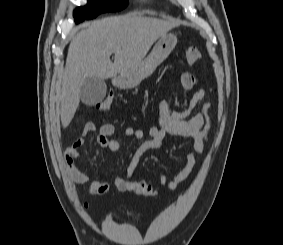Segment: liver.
<instances>
[{"label":"liver","instance_id":"obj_1","mask_svg":"<svg viewBox=\"0 0 283 245\" xmlns=\"http://www.w3.org/2000/svg\"><path fill=\"white\" fill-rule=\"evenodd\" d=\"M173 21L144 17H111L93 22L70 42L60 90L63 128L72 121L86 78H114L137 66L154 42L177 27ZM114 53V62L110 60Z\"/></svg>","mask_w":283,"mask_h":245}]
</instances>
